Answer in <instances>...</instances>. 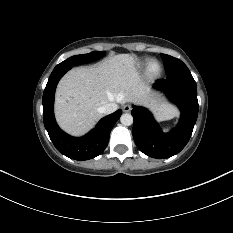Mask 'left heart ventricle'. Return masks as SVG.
Masks as SVG:
<instances>
[{
	"label": "left heart ventricle",
	"instance_id": "b2bd125f",
	"mask_svg": "<svg viewBox=\"0 0 233 233\" xmlns=\"http://www.w3.org/2000/svg\"><path fill=\"white\" fill-rule=\"evenodd\" d=\"M153 68H154V69H156V68H157V65H156V64H154V65H153Z\"/></svg>",
	"mask_w": 233,
	"mask_h": 233
}]
</instances>
